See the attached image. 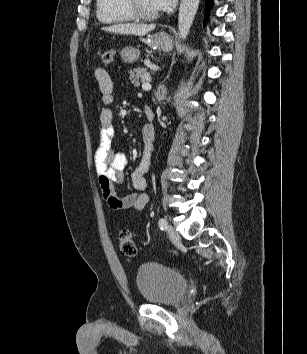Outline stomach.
<instances>
[{"mask_svg":"<svg viewBox=\"0 0 307 354\" xmlns=\"http://www.w3.org/2000/svg\"><path fill=\"white\" fill-rule=\"evenodd\" d=\"M151 48L157 49L160 51L168 52L173 48V42L171 37L165 32H159L147 39H144ZM121 58L126 63L135 62L140 55V52L132 47H125L121 50Z\"/></svg>","mask_w":307,"mask_h":354,"instance_id":"0dacf381","label":"stomach"}]
</instances>
